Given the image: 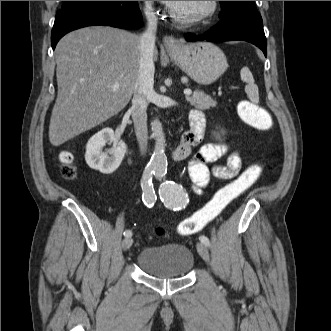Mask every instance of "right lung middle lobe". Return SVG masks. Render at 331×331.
<instances>
[{"label": "right lung middle lobe", "instance_id": "dd1d6c3e", "mask_svg": "<svg viewBox=\"0 0 331 331\" xmlns=\"http://www.w3.org/2000/svg\"><path fill=\"white\" fill-rule=\"evenodd\" d=\"M92 1H63L62 9L69 8L78 4L87 3Z\"/></svg>", "mask_w": 331, "mask_h": 331}]
</instances>
